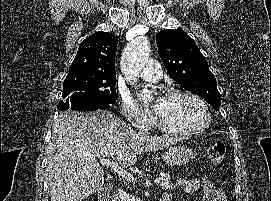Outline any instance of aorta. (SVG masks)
<instances>
[{
    "instance_id": "762f6f07",
    "label": "aorta",
    "mask_w": 271,
    "mask_h": 201,
    "mask_svg": "<svg viewBox=\"0 0 271 201\" xmlns=\"http://www.w3.org/2000/svg\"><path fill=\"white\" fill-rule=\"evenodd\" d=\"M150 54V43L145 36L134 38L124 49L121 56V67L129 78L136 77L144 68ZM140 97L144 101L152 99L148 90H143Z\"/></svg>"
}]
</instances>
